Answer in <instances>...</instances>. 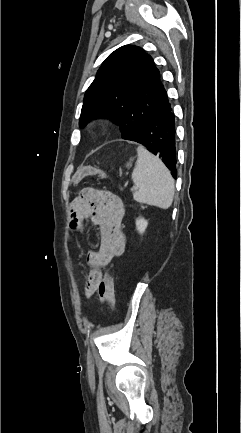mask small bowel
I'll use <instances>...</instances> for the list:
<instances>
[{
  "instance_id": "1",
  "label": "small bowel",
  "mask_w": 241,
  "mask_h": 433,
  "mask_svg": "<svg viewBox=\"0 0 241 433\" xmlns=\"http://www.w3.org/2000/svg\"><path fill=\"white\" fill-rule=\"evenodd\" d=\"M124 214L125 209L122 200L106 190L84 188L80 195L71 202L70 229L80 232L84 219L89 217L99 230V249L89 251L86 256L89 266V276L85 285L87 298L96 292L88 286L90 277L94 273L102 275L101 269L125 251L126 237L122 228Z\"/></svg>"
}]
</instances>
